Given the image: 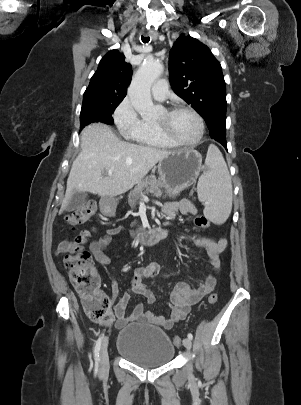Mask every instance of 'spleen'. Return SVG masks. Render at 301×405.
I'll list each match as a JSON object with an SVG mask.
<instances>
[{
  "instance_id": "3e777b00",
  "label": "spleen",
  "mask_w": 301,
  "mask_h": 405,
  "mask_svg": "<svg viewBox=\"0 0 301 405\" xmlns=\"http://www.w3.org/2000/svg\"><path fill=\"white\" fill-rule=\"evenodd\" d=\"M208 168L198 182L199 198L205 202V215L216 224H223L232 210V183L222 153L215 145L208 148Z\"/></svg>"
}]
</instances>
